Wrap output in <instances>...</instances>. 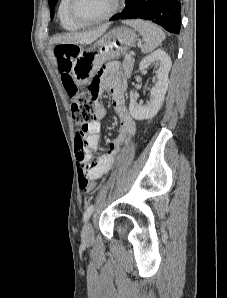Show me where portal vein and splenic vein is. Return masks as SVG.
I'll return each instance as SVG.
<instances>
[{
    "label": "portal vein and splenic vein",
    "mask_w": 227,
    "mask_h": 298,
    "mask_svg": "<svg viewBox=\"0 0 227 298\" xmlns=\"http://www.w3.org/2000/svg\"><path fill=\"white\" fill-rule=\"evenodd\" d=\"M125 58H126V59H131V55H130V54H126V55H125Z\"/></svg>",
    "instance_id": "portal-vein-and-splenic-vein-1"
}]
</instances>
